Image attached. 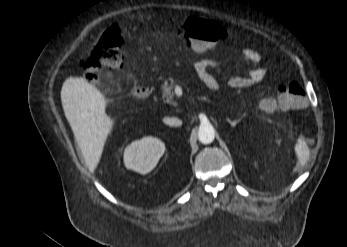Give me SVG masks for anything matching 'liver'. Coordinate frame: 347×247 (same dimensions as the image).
I'll list each match as a JSON object with an SVG mask.
<instances>
[{"mask_svg": "<svg viewBox=\"0 0 347 247\" xmlns=\"http://www.w3.org/2000/svg\"><path fill=\"white\" fill-rule=\"evenodd\" d=\"M61 102L86 165L93 173L114 125V120L105 113L107 100L84 78L69 77L61 89Z\"/></svg>", "mask_w": 347, "mask_h": 247, "instance_id": "obj_1", "label": "liver"}]
</instances>
